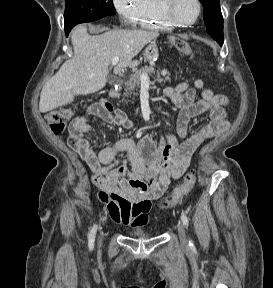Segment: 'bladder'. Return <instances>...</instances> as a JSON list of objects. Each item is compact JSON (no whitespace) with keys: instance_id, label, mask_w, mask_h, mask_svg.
<instances>
[{"instance_id":"1","label":"bladder","mask_w":273,"mask_h":288,"mask_svg":"<svg viewBox=\"0 0 273 288\" xmlns=\"http://www.w3.org/2000/svg\"><path fill=\"white\" fill-rule=\"evenodd\" d=\"M132 236L134 237H147V233L141 231V230H137L131 233Z\"/></svg>"}]
</instances>
